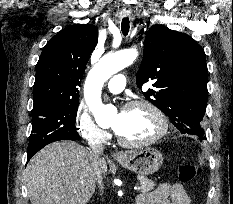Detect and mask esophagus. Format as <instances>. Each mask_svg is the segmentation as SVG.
Returning a JSON list of instances; mask_svg holds the SVG:
<instances>
[{
    "instance_id": "obj_1",
    "label": "esophagus",
    "mask_w": 233,
    "mask_h": 204,
    "mask_svg": "<svg viewBox=\"0 0 233 204\" xmlns=\"http://www.w3.org/2000/svg\"><path fill=\"white\" fill-rule=\"evenodd\" d=\"M121 13H122V15H123L124 17H128V16L131 15V12L128 11V10H123ZM124 156H125V155H124L123 152H116V153H114V158H115V159H121V158H123Z\"/></svg>"
}]
</instances>
